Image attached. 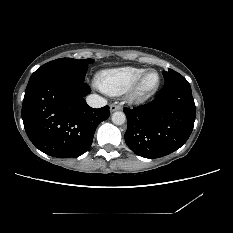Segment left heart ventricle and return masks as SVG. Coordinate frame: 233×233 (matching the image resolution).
Returning <instances> with one entry per match:
<instances>
[{"label":"left heart ventricle","instance_id":"obj_1","mask_svg":"<svg viewBox=\"0 0 233 233\" xmlns=\"http://www.w3.org/2000/svg\"><path fill=\"white\" fill-rule=\"evenodd\" d=\"M156 80H157V75H156V73L150 72V73L146 76V78L144 79L143 88H144V89H149V88H151V87L156 83Z\"/></svg>","mask_w":233,"mask_h":233}]
</instances>
